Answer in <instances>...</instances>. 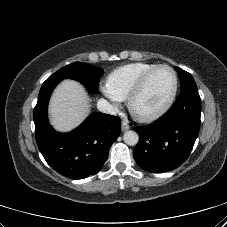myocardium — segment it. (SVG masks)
Listing matches in <instances>:
<instances>
[{"instance_id": "myocardium-1", "label": "myocardium", "mask_w": 227, "mask_h": 227, "mask_svg": "<svg viewBox=\"0 0 227 227\" xmlns=\"http://www.w3.org/2000/svg\"><path fill=\"white\" fill-rule=\"evenodd\" d=\"M162 68H167L169 70L172 71L173 75H174V87L173 90L169 96V98L167 99V101L165 102V104L159 108L158 110H156L155 112L149 113V114H141L139 112H137V110L135 109V101L138 98V96L142 93V91L144 90L147 82L149 81V79L151 78V76L158 71L159 69ZM178 88H179V77H178V73L176 72V70L167 64H159L156 65L155 67L151 68L150 70H148L136 83V85L134 86V88L131 90L128 98H127V105H128V109L131 113V115L137 119L138 121L141 122H152L155 121L157 119H159L160 117H162L173 105L177 92H178Z\"/></svg>"}]
</instances>
